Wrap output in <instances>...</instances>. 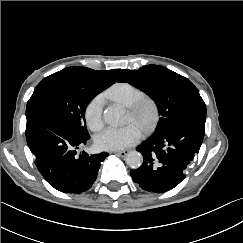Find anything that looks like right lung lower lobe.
I'll use <instances>...</instances> for the list:
<instances>
[{
	"label": "right lung lower lobe",
	"instance_id": "1",
	"mask_svg": "<svg viewBox=\"0 0 243 243\" xmlns=\"http://www.w3.org/2000/svg\"><path fill=\"white\" fill-rule=\"evenodd\" d=\"M26 139L35 165L45 180L64 193H81L96 180L106 152H76L89 134H79L63 117L44 109L26 112Z\"/></svg>",
	"mask_w": 243,
	"mask_h": 243
}]
</instances>
